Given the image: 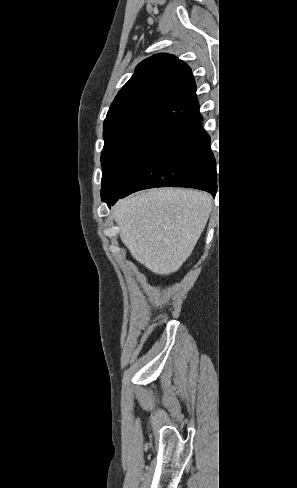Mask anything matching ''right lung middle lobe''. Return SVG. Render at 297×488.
<instances>
[{"mask_svg": "<svg viewBox=\"0 0 297 488\" xmlns=\"http://www.w3.org/2000/svg\"><path fill=\"white\" fill-rule=\"evenodd\" d=\"M171 133L153 128L135 129L105 140L101 154L102 200L107 203L124 192Z\"/></svg>", "mask_w": 297, "mask_h": 488, "instance_id": "1", "label": "right lung middle lobe"}]
</instances>
